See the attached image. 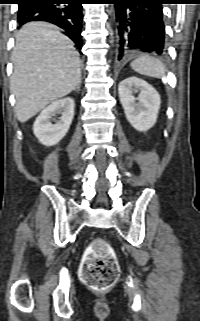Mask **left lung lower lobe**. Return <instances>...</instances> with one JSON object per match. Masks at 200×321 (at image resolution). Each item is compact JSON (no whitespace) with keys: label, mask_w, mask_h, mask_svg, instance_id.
<instances>
[{"label":"left lung lower lobe","mask_w":200,"mask_h":321,"mask_svg":"<svg viewBox=\"0 0 200 321\" xmlns=\"http://www.w3.org/2000/svg\"><path fill=\"white\" fill-rule=\"evenodd\" d=\"M115 4L119 59L126 52L165 51L162 4L166 0H112Z\"/></svg>","instance_id":"obj_1"}]
</instances>
